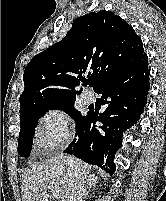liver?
Returning a JSON list of instances; mask_svg holds the SVG:
<instances>
[{"mask_svg": "<svg viewBox=\"0 0 166 201\" xmlns=\"http://www.w3.org/2000/svg\"><path fill=\"white\" fill-rule=\"evenodd\" d=\"M84 180L89 178L91 166L75 159ZM88 180V179H87ZM73 178L67 156L57 155L43 162L32 164L22 174V201H52L53 192L59 194V201H72Z\"/></svg>", "mask_w": 166, "mask_h": 201, "instance_id": "obj_1", "label": "liver"}]
</instances>
